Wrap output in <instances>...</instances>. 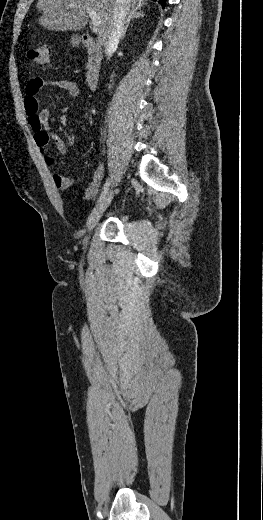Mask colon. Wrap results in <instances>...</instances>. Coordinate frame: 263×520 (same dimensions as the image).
<instances>
[{
	"label": "colon",
	"instance_id": "colon-1",
	"mask_svg": "<svg viewBox=\"0 0 263 520\" xmlns=\"http://www.w3.org/2000/svg\"><path fill=\"white\" fill-rule=\"evenodd\" d=\"M28 57L37 66L47 68L50 66L51 47L46 43H41L37 47L29 50Z\"/></svg>",
	"mask_w": 263,
	"mask_h": 520
}]
</instances>
